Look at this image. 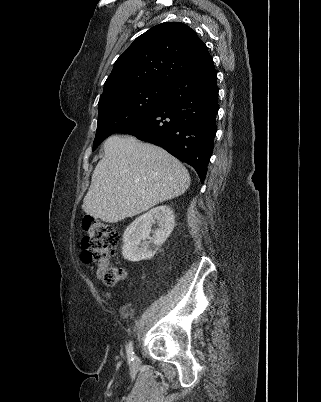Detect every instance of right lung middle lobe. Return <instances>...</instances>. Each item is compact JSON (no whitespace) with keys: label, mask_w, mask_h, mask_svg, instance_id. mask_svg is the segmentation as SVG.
<instances>
[{"label":"right lung middle lobe","mask_w":321,"mask_h":402,"mask_svg":"<svg viewBox=\"0 0 321 402\" xmlns=\"http://www.w3.org/2000/svg\"><path fill=\"white\" fill-rule=\"evenodd\" d=\"M167 86L148 85L113 93L99 101L93 150L121 128L156 109L166 98Z\"/></svg>","instance_id":"dd1d6c3e"}]
</instances>
